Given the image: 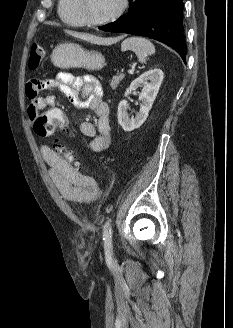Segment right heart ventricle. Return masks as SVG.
<instances>
[{
	"label": "right heart ventricle",
	"mask_w": 233,
	"mask_h": 328,
	"mask_svg": "<svg viewBox=\"0 0 233 328\" xmlns=\"http://www.w3.org/2000/svg\"><path fill=\"white\" fill-rule=\"evenodd\" d=\"M58 14L62 22L69 26L81 27L84 22L76 10V0H59Z\"/></svg>",
	"instance_id": "obj_1"
}]
</instances>
